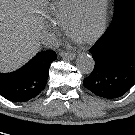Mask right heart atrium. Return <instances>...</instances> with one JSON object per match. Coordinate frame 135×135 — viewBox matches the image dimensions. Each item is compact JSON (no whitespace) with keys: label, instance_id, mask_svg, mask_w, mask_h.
I'll use <instances>...</instances> for the list:
<instances>
[{"label":"right heart atrium","instance_id":"right-heart-atrium-1","mask_svg":"<svg viewBox=\"0 0 135 135\" xmlns=\"http://www.w3.org/2000/svg\"><path fill=\"white\" fill-rule=\"evenodd\" d=\"M48 27H49L51 30H53L55 33H58V32H59L58 27H57L55 24H53V23H50V24L48 25Z\"/></svg>","mask_w":135,"mask_h":135}]
</instances>
